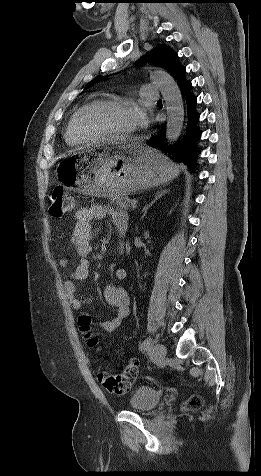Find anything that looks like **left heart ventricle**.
Masks as SVG:
<instances>
[{
  "label": "left heart ventricle",
  "instance_id": "obj_1",
  "mask_svg": "<svg viewBox=\"0 0 261 476\" xmlns=\"http://www.w3.org/2000/svg\"><path fill=\"white\" fill-rule=\"evenodd\" d=\"M82 128L90 135L125 134L135 127L134 108L97 106L82 117Z\"/></svg>",
  "mask_w": 261,
  "mask_h": 476
}]
</instances>
